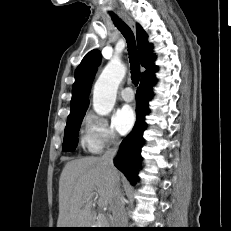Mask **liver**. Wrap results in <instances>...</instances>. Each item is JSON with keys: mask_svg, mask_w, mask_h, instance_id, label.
Segmentation results:
<instances>
[{"mask_svg": "<svg viewBox=\"0 0 231 231\" xmlns=\"http://www.w3.org/2000/svg\"><path fill=\"white\" fill-rule=\"evenodd\" d=\"M117 170L111 173L99 157H85L66 163L59 179L58 228H90L95 224L92 195H99L102 207L114 206Z\"/></svg>", "mask_w": 231, "mask_h": 231, "instance_id": "6515ba94", "label": "liver"}]
</instances>
